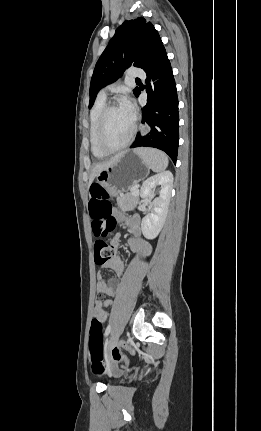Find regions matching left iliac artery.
Returning <instances> with one entry per match:
<instances>
[{
  "instance_id": "obj_1",
  "label": "left iliac artery",
  "mask_w": 261,
  "mask_h": 431,
  "mask_svg": "<svg viewBox=\"0 0 261 431\" xmlns=\"http://www.w3.org/2000/svg\"><path fill=\"white\" fill-rule=\"evenodd\" d=\"M110 330H111V326H110V325H108V326H107V328H106V331H105V336H106V337L109 335Z\"/></svg>"
}]
</instances>
